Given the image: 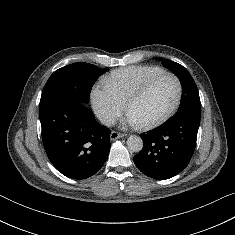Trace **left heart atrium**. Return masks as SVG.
I'll list each match as a JSON object with an SVG mask.
<instances>
[{"mask_svg":"<svg viewBox=\"0 0 235 235\" xmlns=\"http://www.w3.org/2000/svg\"><path fill=\"white\" fill-rule=\"evenodd\" d=\"M122 124L124 126H138L140 125L139 122L134 118L133 115H131L129 112L128 114L123 118Z\"/></svg>","mask_w":235,"mask_h":235,"instance_id":"obj_1","label":"left heart atrium"}]
</instances>
